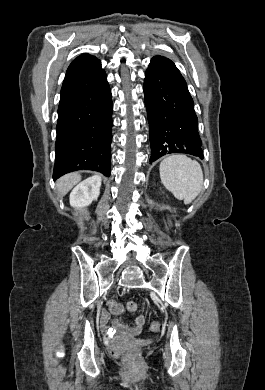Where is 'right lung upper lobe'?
<instances>
[{"label":"right lung upper lobe","mask_w":265,"mask_h":390,"mask_svg":"<svg viewBox=\"0 0 265 390\" xmlns=\"http://www.w3.org/2000/svg\"><path fill=\"white\" fill-rule=\"evenodd\" d=\"M97 61H98V59L95 56H92L89 54H82V55L78 56L75 60H73L72 63L69 65L67 72H66V76L74 74L77 71L82 70V69L94 64Z\"/></svg>","instance_id":"obj_1"}]
</instances>
